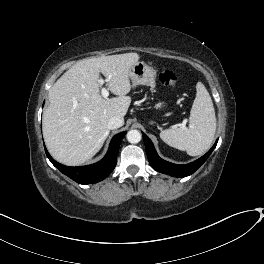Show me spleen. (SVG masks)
<instances>
[{
	"label": "spleen",
	"instance_id": "3e777b00",
	"mask_svg": "<svg viewBox=\"0 0 264 264\" xmlns=\"http://www.w3.org/2000/svg\"><path fill=\"white\" fill-rule=\"evenodd\" d=\"M216 132V116L212 99L203 83L196 85L189 128L176 125L160 133V138L169 146L186 151L190 156L203 154L211 146Z\"/></svg>",
	"mask_w": 264,
	"mask_h": 264
}]
</instances>
